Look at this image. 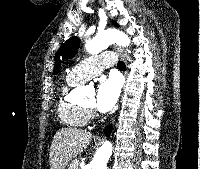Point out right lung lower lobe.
<instances>
[{"instance_id":"obj_1","label":"right lung lower lobe","mask_w":200,"mask_h":169,"mask_svg":"<svg viewBox=\"0 0 200 169\" xmlns=\"http://www.w3.org/2000/svg\"><path fill=\"white\" fill-rule=\"evenodd\" d=\"M111 128H112L111 125H109V126H107V127L105 128V134H106L107 136L110 134Z\"/></svg>"}]
</instances>
